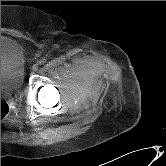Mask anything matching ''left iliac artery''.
<instances>
[{
	"label": "left iliac artery",
	"instance_id": "1",
	"mask_svg": "<svg viewBox=\"0 0 166 166\" xmlns=\"http://www.w3.org/2000/svg\"><path fill=\"white\" fill-rule=\"evenodd\" d=\"M45 62H46L45 59H41V60H39L38 64H39V65H42V64H44Z\"/></svg>",
	"mask_w": 166,
	"mask_h": 166
}]
</instances>
